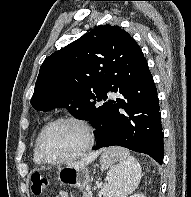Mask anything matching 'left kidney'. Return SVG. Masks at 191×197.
<instances>
[{"mask_svg": "<svg viewBox=\"0 0 191 197\" xmlns=\"http://www.w3.org/2000/svg\"><path fill=\"white\" fill-rule=\"evenodd\" d=\"M130 197H145V196L142 193H135V194H132Z\"/></svg>", "mask_w": 191, "mask_h": 197, "instance_id": "obj_1", "label": "left kidney"}]
</instances>
